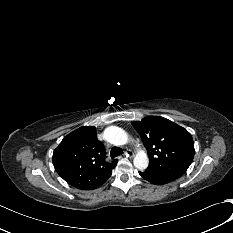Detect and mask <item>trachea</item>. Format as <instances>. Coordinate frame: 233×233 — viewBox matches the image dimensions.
Here are the masks:
<instances>
[{
  "instance_id": "trachea-1",
  "label": "trachea",
  "mask_w": 233,
  "mask_h": 233,
  "mask_svg": "<svg viewBox=\"0 0 233 233\" xmlns=\"http://www.w3.org/2000/svg\"><path fill=\"white\" fill-rule=\"evenodd\" d=\"M123 154V150L120 147H112L111 151H110V156L111 158H115L119 155Z\"/></svg>"
}]
</instances>
